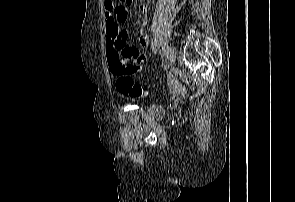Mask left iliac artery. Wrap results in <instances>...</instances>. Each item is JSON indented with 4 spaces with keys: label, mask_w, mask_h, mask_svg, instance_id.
Returning <instances> with one entry per match:
<instances>
[{
    "label": "left iliac artery",
    "mask_w": 295,
    "mask_h": 202,
    "mask_svg": "<svg viewBox=\"0 0 295 202\" xmlns=\"http://www.w3.org/2000/svg\"><path fill=\"white\" fill-rule=\"evenodd\" d=\"M166 52H167V47H166V46H163V47H162V53L165 54Z\"/></svg>",
    "instance_id": "left-iliac-artery-1"
}]
</instances>
